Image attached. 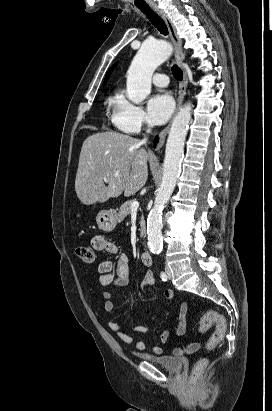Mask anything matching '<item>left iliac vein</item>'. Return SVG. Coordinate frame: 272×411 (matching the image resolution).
Returning a JSON list of instances; mask_svg holds the SVG:
<instances>
[{
  "label": "left iliac vein",
  "mask_w": 272,
  "mask_h": 411,
  "mask_svg": "<svg viewBox=\"0 0 272 411\" xmlns=\"http://www.w3.org/2000/svg\"><path fill=\"white\" fill-rule=\"evenodd\" d=\"M166 274H167V278L171 279L172 278V274H171V270L170 268L167 266L165 268Z\"/></svg>",
  "instance_id": "1"
}]
</instances>
